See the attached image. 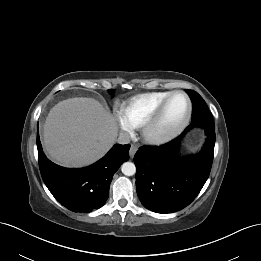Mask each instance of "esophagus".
Masks as SVG:
<instances>
[{"label": "esophagus", "instance_id": "obj_1", "mask_svg": "<svg viewBox=\"0 0 261 261\" xmlns=\"http://www.w3.org/2000/svg\"><path fill=\"white\" fill-rule=\"evenodd\" d=\"M136 151H137V147L135 145H131L130 150H129L130 157H133L135 155Z\"/></svg>", "mask_w": 261, "mask_h": 261}]
</instances>
